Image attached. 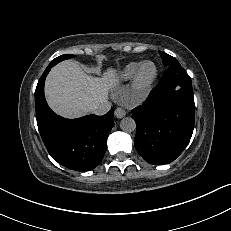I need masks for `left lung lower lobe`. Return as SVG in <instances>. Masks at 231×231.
Listing matches in <instances>:
<instances>
[{"label":"left lung lower lobe","mask_w":231,"mask_h":231,"mask_svg":"<svg viewBox=\"0 0 231 231\" xmlns=\"http://www.w3.org/2000/svg\"><path fill=\"white\" fill-rule=\"evenodd\" d=\"M138 153L154 165L175 160L194 129L195 104L191 79L178 63L167 67L145 103L132 110Z\"/></svg>","instance_id":"left-lung-lower-lobe-1"}]
</instances>
